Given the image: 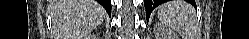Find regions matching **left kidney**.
<instances>
[{
    "mask_svg": "<svg viewBox=\"0 0 249 39\" xmlns=\"http://www.w3.org/2000/svg\"><path fill=\"white\" fill-rule=\"evenodd\" d=\"M163 39H167V36L166 37L164 36Z\"/></svg>",
    "mask_w": 249,
    "mask_h": 39,
    "instance_id": "5707ae66",
    "label": "left kidney"
}]
</instances>
